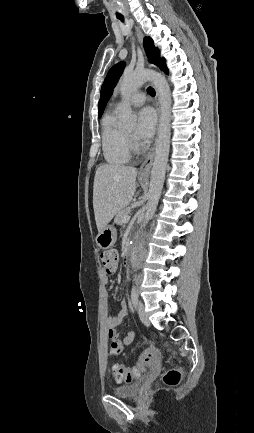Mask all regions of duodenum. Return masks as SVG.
I'll use <instances>...</instances> for the list:
<instances>
[{
    "mask_svg": "<svg viewBox=\"0 0 254 433\" xmlns=\"http://www.w3.org/2000/svg\"><path fill=\"white\" fill-rule=\"evenodd\" d=\"M125 249H126V252H125L126 259L128 261V259L130 257V253H131V245L129 242L126 243Z\"/></svg>",
    "mask_w": 254,
    "mask_h": 433,
    "instance_id": "1",
    "label": "duodenum"
}]
</instances>
